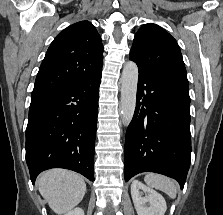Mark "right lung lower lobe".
I'll list each match as a JSON object with an SVG mask.
<instances>
[{
  "label": "right lung lower lobe",
  "mask_w": 223,
  "mask_h": 215,
  "mask_svg": "<svg viewBox=\"0 0 223 215\" xmlns=\"http://www.w3.org/2000/svg\"><path fill=\"white\" fill-rule=\"evenodd\" d=\"M101 71L75 85L31 100L26 162L34 184L50 168H66L94 181Z\"/></svg>",
  "instance_id": "right-lung-lower-lobe-1"
}]
</instances>
